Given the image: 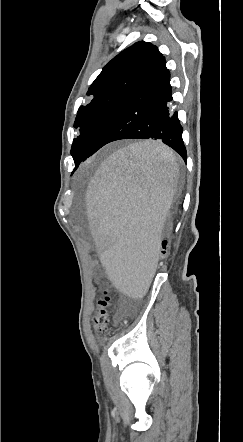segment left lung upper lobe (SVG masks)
<instances>
[{
    "label": "left lung upper lobe",
    "mask_w": 243,
    "mask_h": 442,
    "mask_svg": "<svg viewBox=\"0 0 243 442\" xmlns=\"http://www.w3.org/2000/svg\"><path fill=\"white\" fill-rule=\"evenodd\" d=\"M163 55L149 42H137L115 56L89 87L93 98L80 106L74 122L79 136L73 140L71 155L75 169L116 106L138 86L161 60Z\"/></svg>",
    "instance_id": "1"
}]
</instances>
